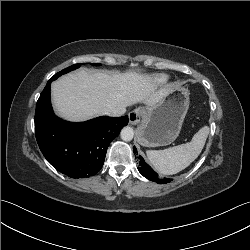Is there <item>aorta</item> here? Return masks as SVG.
<instances>
[{"mask_svg":"<svg viewBox=\"0 0 250 250\" xmlns=\"http://www.w3.org/2000/svg\"><path fill=\"white\" fill-rule=\"evenodd\" d=\"M120 136L124 141H131L134 136V131L131 127L126 126L121 130Z\"/></svg>","mask_w":250,"mask_h":250,"instance_id":"1","label":"aorta"}]
</instances>
